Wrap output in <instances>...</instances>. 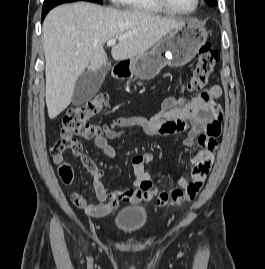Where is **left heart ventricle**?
Instances as JSON below:
<instances>
[{
  "instance_id": "left-heart-ventricle-1",
  "label": "left heart ventricle",
  "mask_w": 265,
  "mask_h": 269,
  "mask_svg": "<svg viewBox=\"0 0 265 269\" xmlns=\"http://www.w3.org/2000/svg\"><path fill=\"white\" fill-rule=\"evenodd\" d=\"M174 8L180 10H190L195 5V0H167Z\"/></svg>"
}]
</instances>
